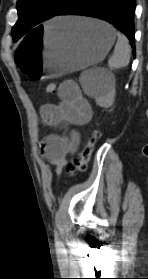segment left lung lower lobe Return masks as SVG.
<instances>
[{
  "label": "left lung lower lobe",
  "instance_id": "1",
  "mask_svg": "<svg viewBox=\"0 0 148 279\" xmlns=\"http://www.w3.org/2000/svg\"><path fill=\"white\" fill-rule=\"evenodd\" d=\"M136 0H71L58 15H83L113 24L130 40L135 54L134 12Z\"/></svg>",
  "mask_w": 148,
  "mask_h": 279
}]
</instances>
